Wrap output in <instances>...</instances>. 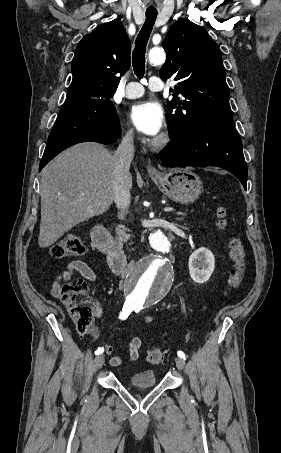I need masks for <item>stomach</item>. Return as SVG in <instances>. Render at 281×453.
<instances>
[{"label":"stomach","instance_id":"stomach-1","mask_svg":"<svg viewBox=\"0 0 281 453\" xmlns=\"http://www.w3.org/2000/svg\"><path fill=\"white\" fill-rule=\"evenodd\" d=\"M160 190L176 202H194L202 192V180L191 168H169L152 176Z\"/></svg>","mask_w":281,"mask_h":453}]
</instances>
